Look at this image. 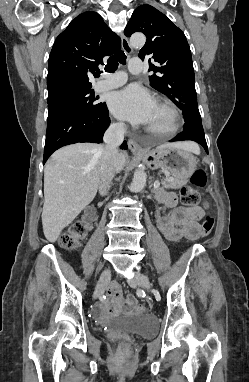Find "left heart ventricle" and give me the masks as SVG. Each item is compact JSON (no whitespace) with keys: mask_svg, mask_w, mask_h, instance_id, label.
Instances as JSON below:
<instances>
[{"mask_svg":"<svg viewBox=\"0 0 249 382\" xmlns=\"http://www.w3.org/2000/svg\"><path fill=\"white\" fill-rule=\"evenodd\" d=\"M170 124V114L161 106L156 104L152 117L146 124V127L155 131L161 132L166 130Z\"/></svg>","mask_w":249,"mask_h":382,"instance_id":"b2bd125f","label":"left heart ventricle"}]
</instances>
